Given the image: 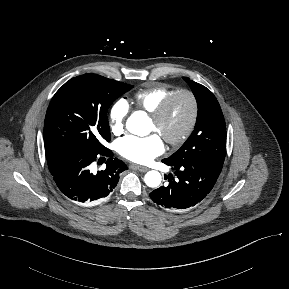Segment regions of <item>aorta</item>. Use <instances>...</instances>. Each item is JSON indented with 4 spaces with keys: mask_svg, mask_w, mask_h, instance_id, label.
<instances>
[{
    "mask_svg": "<svg viewBox=\"0 0 289 289\" xmlns=\"http://www.w3.org/2000/svg\"><path fill=\"white\" fill-rule=\"evenodd\" d=\"M145 121L143 112H134L127 121V127L130 131L135 132L140 130ZM144 181L148 187L156 188L161 183V174L158 171H149L145 174Z\"/></svg>",
    "mask_w": 289,
    "mask_h": 289,
    "instance_id": "1",
    "label": "aorta"
}]
</instances>
